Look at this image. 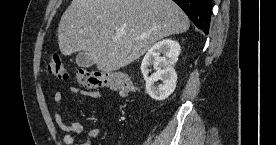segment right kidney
<instances>
[{
	"mask_svg": "<svg viewBox=\"0 0 276 145\" xmlns=\"http://www.w3.org/2000/svg\"><path fill=\"white\" fill-rule=\"evenodd\" d=\"M181 47L172 39H164L154 44L146 53L141 63V72L146 83L149 96L162 101L168 98L176 88L177 74L174 69L178 61ZM163 54V56H160ZM154 66L156 72L149 76V67ZM161 80L162 84L155 86L154 82Z\"/></svg>",
	"mask_w": 276,
	"mask_h": 145,
	"instance_id": "ca27d5eb",
	"label": "right kidney"
}]
</instances>
